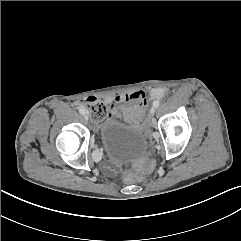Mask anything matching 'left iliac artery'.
Wrapping results in <instances>:
<instances>
[{"instance_id": "obj_1", "label": "left iliac artery", "mask_w": 241, "mask_h": 241, "mask_svg": "<svg viewBox=\"0 0 241 241\" xmlns=\"http://www.w3.org/2000/svg\"><path fill=\"white\" fill-rule=\"evenodd\" d=\"M159 104H160V102H159L158 100H155V101L153 102V106H154L155 108L159 107Z\"/></svg>"}]
</instances>
